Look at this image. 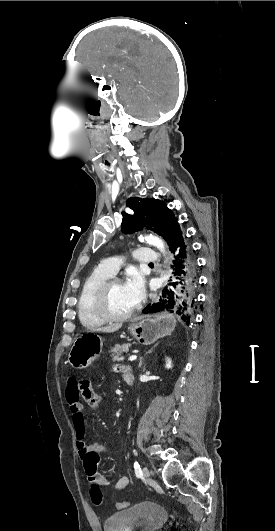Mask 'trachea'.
Instances as JSON below:
<instances>
[{
	"instance_id": "3493384b",
	"label": "trachea",
	"mask_w": 275,
	"mask_h": 531,
	"mask_svg": "<svg viewBox=\"0 0 275 531\" xmlns=\"http://www.w3.org/2000/svg\"><path fill=\"white\" fill-rule=\"evenodd\" d=\"M149 266H150V267H153L154 265H153V263H149Z\"/></svg>"
}]
</instances>
